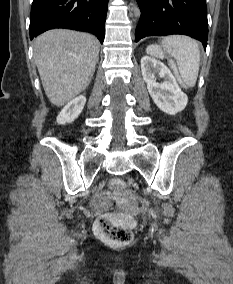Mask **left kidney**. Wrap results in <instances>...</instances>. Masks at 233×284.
Instances as JSON below:
<instances>
[{
    "label": "left kidney",
    "mask_w": 233,
    "mask_h": 284,
    "mask_svg": "<svg viewBox=\"0 0 233 284\" xmlns=\"http://www.w3.org/2000/svg\"><path fill=\"white\" fill-rule=\"evenodd\" d=\"M141 71L148 92L160 110L170 115L184 110L188 97L181 91L174 75L164 63L153 57L144 56L141 59ZM156 74L164 81L158 83Z\"/></svg>",
    "instance_id": "1"
}]
</instances>
